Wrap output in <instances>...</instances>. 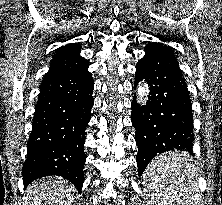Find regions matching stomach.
Segmentation results:
<instances>
[{
    "label": "stomach",
    "instance_id": "obj_1",
    "mask_svg": "<svg viewBox=\"0 0 222 205\" xmlns=\"http://www.w3.org/2000/svg\"><path fill=\"white\" fill-rule=\"evenodd\" d=\"M171 154H179V152H172Z\"/></svg>",
    "mask_w": 222,
    "mask_h": 205
}]
</instances>
